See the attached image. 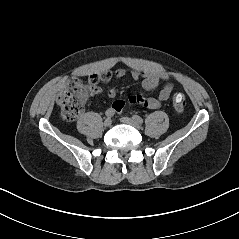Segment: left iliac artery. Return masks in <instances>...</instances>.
Instances as JSON below:
<instances>
[{
  "instance_id": "1",
  "label": "left iliac artery",
  "mask_w": 239,
  "mask_h": 239,
  "mask_svg": "<svg viewBox=\"0 0 239 239\" xmlns=\"http://www.w3.org/2000/svg\"><path fill=\"white\" fill-rule=\"evenodd\" d=\"M133 119L140 124L143 123V119L138 115H133Z\"/></svg>"
}]
</instances>
